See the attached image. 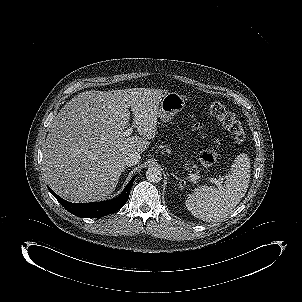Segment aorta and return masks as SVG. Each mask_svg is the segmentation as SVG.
<instances>
[{"label": "aorta", "mask_w": 302, "mask_h": 302, "mask_svg": "<svg viewBox=\"0 0 302 302\" xmlns=\"http://www.w3.org/2000/svg\"><path fill=\"white\" fill-rule=\"evenodd\" d=\"M146 179L151 183H158L162 179V172L157 167H150L146 171Z\"/></svg>", "instance_id": "1"}]
</instances>
